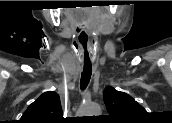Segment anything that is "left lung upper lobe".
<instances>
[{"instance_id": "left-lung-upper-lobe-1", "label": "left lung upper lobe", "mask_w": 172, "mask_h": 123, "mask_svg": "<svg viewBox=\"0 0 172 123\" xmlns=\"http://www.w3.org/2000/svg\"><path fill=\"white\" fill-rule=\"evenodd\" d=\"M104 102L109 113L106 117L112 120H135L146 113V110L130 95L117 91L111 86L104 90Z\"/></svg>"}]
</instances>
